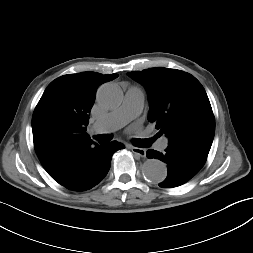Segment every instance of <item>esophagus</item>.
<instances>
[{
    "mask_svg": "<svg viewBox=\"0 0 253 253\" xmlns=\"http://www.w3.org/2000/svg\"><path fill=\"white\" fill-rule=\"evenodd\" d=\"M131 150L134 154H136L140 157H146V150L144 148L131 147Z\"/></svg>",
    "mask_w": 253,
    "mask_h": 253,
    "instance_id": "1",
    "label": "esophagus"
}]
</instances>
